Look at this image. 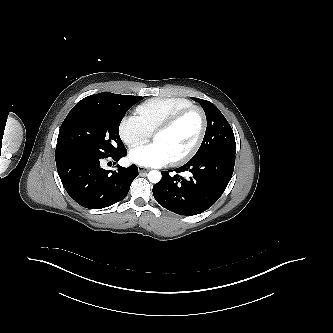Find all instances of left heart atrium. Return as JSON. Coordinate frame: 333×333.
Returning <instances> with one entry per match:
<instances>
[{"label":"left heart atrium","instance_id":"39dd6f15","mask_svg":"<svg viewBox=\"0 0 333 333\" xmlns=\"http://www.w3.org/2000/svg\"><path fill=\"white\" fill-rule=\"evenodd\" d=\"M128 157L130 162L145 167H161L171 162L163 146L155 142L132 149Z\"/></svg>","mask_w":333,"mask_h":333}]
</instances>
